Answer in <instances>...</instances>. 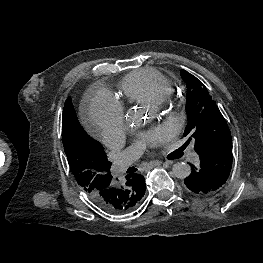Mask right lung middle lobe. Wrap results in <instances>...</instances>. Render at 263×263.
I'll use <instances>...</instances> for the list:
<instances>
[{
    "mask_svg": "<svg viewBox=\"0 0 263 263\" xmlns=\"http://www.w3.org/2000/svg\"><path fill=\"white\" fill-rule=\"evenodd\" d=\"M62 140L70 169L77 183L88 194L103 188L111 177V162L102 145L80 125L71 98L65 101L62 114Z\"/></svg>",
    "mask_w": 263,
    "mask_h": 263,
    "instance_id": "1",
    "label": "right lung middle lobe"
}]
</instances>
